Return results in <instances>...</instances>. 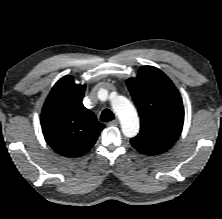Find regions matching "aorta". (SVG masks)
Segmentation results:
<instances>
[{
  "instance_id": "1",
  "label": "aorta",
  "mask_w": 222,
  "mask_h": 219,
  "mask_svg": "<svg viewBox=\"0 0 222 219\" xmlns=\"http://www.w3.org/2000/svg\"><path fill=\"white\" fill-rule=\"evenodd\" d=\"M111 106L118 116L124 136L132 138L139 132V117L132 103L124 96L117 95Z\"/></svg>"
}]
</instances>
